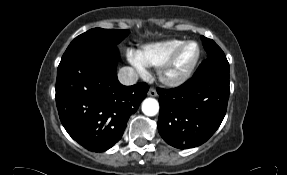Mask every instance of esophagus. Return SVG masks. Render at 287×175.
Wrapping results in <instances>:
<instances>
[{"mask_svg":"<svg viewBox=\"0 0 287 175\" xmlns=\"http://www.w3.org/2000/svg\"><path fill=\"white\" fill-rule=\"evenodd\" d=\"M148 96H151V97H156L158 96V93L156 91V89L154 87H151L148 91Z\"/></svg>","mask_w":287,"mask_h":175,"instance_id":"obj_1","label":"esophagus"}]
</instances>
